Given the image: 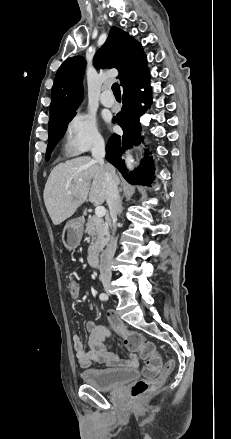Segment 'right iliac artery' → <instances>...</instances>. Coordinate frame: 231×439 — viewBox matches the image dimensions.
I'll use <instances>...</instances> for the list:
<instances>
[{
	"mask_svg": "<svg viewBox=\"0 0 231 439\" xmlns=\"http://www.w3.org/2000/svg\"><path fill=\"white\" fill-rule=\"evenodd\" d=\"M99 298L101 301H106V300H108V295L105 293H101Z\"/></svg>",
	"mask_w": 231,
	"mask_h": 439,
	"instance_id": "1",
	"label": "right iliac artery"
}]
</instances>
